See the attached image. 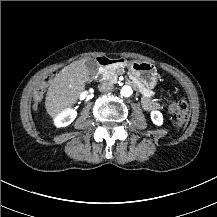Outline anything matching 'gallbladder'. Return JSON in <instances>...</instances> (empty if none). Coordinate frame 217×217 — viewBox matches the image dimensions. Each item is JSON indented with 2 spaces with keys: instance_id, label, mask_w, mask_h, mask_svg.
Here are the masks:
<instances>
[{
  "instance_id": "obj_1",
  "label": "gallbladder",
  "mask_w": 217,
  "mask_h": 217,
  "mask_svg": "<svg viewBox=\"0 0 217 217\" xmlns=\"http://www.w3.org/2000/svg\"><path fill=\"white\" fill-rule=\"evenodd\" d=\"M86 66L92 75H95L98 72L99 65L95 59H89L86 61Z\"/></svg>"
}]
</instances>
